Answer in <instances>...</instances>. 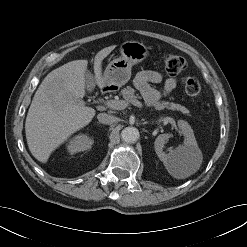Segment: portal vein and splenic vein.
<instances>
[{"label":"portal vein and splenic vein","mask_w":247,"mask_h":247,"mask_svg":"<svg viewBox=\"0 0 247 247\" xmlns=\"http://www.w3.org/2000/svg\"><path fill=\"white\" fill-rule=\"evenodd\" d=\"M132 104L137 107H141V103L138 101L133 102ZM105 105L111 109L122 110L128 106V102L124 100H109L105 103Z\"/></svg>","instance_id":"obj_1"}]
</instances>
